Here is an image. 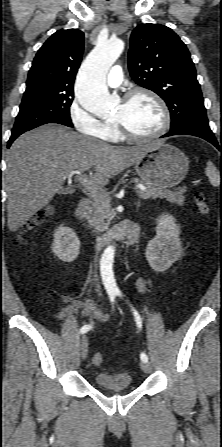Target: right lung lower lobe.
Here are the masks:
<instances>
[{"label":"right lung lower lobe","mask_w":222,"mask_h":447,"mask_svg":"<svg viewBox=\"0 0 222 447\" xmlns=\"http://www.w3.org/2000/svg\"><path fill=\"white\" fill-rule=\"evenodd\" d=\"M54 123H58V124H62V125H66V126H68V127H73L72 123H69V122H54ZM19 135H20V134L12 135V136H11L10 140L8 141V145H7L8 148L10 147V145L12 144V142H13Z\"/></svg>","instance_id":"1"}]
</instances>
